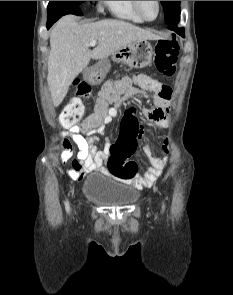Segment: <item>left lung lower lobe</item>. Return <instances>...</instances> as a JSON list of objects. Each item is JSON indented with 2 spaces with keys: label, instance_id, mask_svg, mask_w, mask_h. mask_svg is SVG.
Returning <instances> with one entry per match:
<instances>
[{
  "label": "left lung lower lobe",
  "instance_id": "1",
  "mask_svg": "<svg viewBox=\"0 0 233 295\" xmlns=\"http://www.w3.org/2000/svg\"><path fill=\"white\" fill-rule=\"evenodd\" d=\"M168 28L170 30L175 31L177 34L181 35L182 37H185V35H184V28H178L177 27V23L174 24V25H172V26H168Z\"/></svg>",
  "mask_w": 233,
  "mask_h": 295
}]
</instances>
